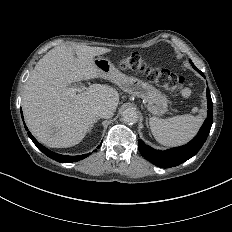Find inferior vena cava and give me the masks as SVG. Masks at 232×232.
Segmentation results:
<instances>
[{"label":"inferior vena cava","mask_w":232,"mask_h":232,"mask_svg":"<svg viewBox=\"0 0 232 232\" xmlns=\"http://www.w3.org/2000/svg\"><path fill=\"white\" fill-rule=\"evenodd\" d=\"M94 112H95L96 116H98L100 118L108 119V118H111L113 116L114 110L110 107L101 105V106H98L97 108H95Z\"/></svg>","instance_id":"1"}]
</instances>
